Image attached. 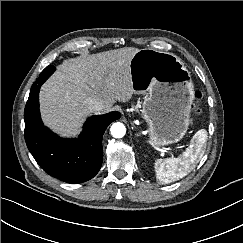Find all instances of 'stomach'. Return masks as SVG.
Instances as JSON below:
<instances>
[{"instance_id":"0dacf381","label":"stomach","mask_w":243,"mask_h":243,"mask_svg":"<svg viewBox=\"0 0 243 243\" xmlns=\"http://www.w3.org/2000/svg\"><path fill=\"white\" fill-rule=\"evenodd\" d=\"M134 92L145 94L142 104L150 141L162 147L180 141L190 124L194 86L190 72L172 53L147 48L130 62Z\"/></svg>"}]
</instances>
